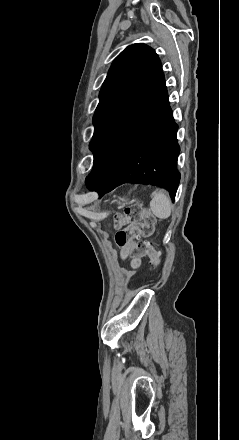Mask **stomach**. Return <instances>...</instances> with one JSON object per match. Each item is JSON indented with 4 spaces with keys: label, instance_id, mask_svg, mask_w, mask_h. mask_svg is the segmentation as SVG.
I'll return each instance as SVG.
<instances>
[{
    "label": "stomach",
    "instance_id": "0dacf381",
    "mask_svg": "<svg viewBox=\"0 0 239 440\" xmlns=\"http://www.w3.org/2000/svg\"><path fill=\"white\" fill-rule=\"evenodd\" d=\"M118 204V208H125V206H128V204H131L130 200H125V198H119V200H116Z\"/></svg>",
    "mask_w": 239,
    "mask_h": 440
}]
</instances>
